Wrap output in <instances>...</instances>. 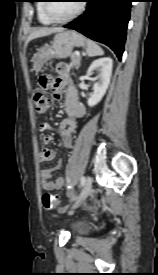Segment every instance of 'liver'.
Masks as SVG:
<instances>
[{
	"label": "liver",
	"instance_id": "liver-1",
	"mask_svg": "<svg viewBox=\"0 0 158 275\" xmlns=\"http://www.w3.org/2000/svg\"><path fill=\"white\" fill-rule=\"evenodd\" d=\"M64 29L60 27H54V28H39L34 30L28 37L27 42L31 41L32 39L43 37L50 35L52 33L56 32H62Z\"/></svg>",
	"mask_w": 158,
	"mask_h": 275
}]
</instances>
